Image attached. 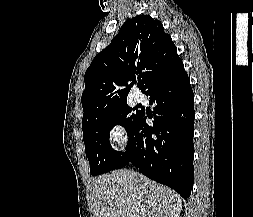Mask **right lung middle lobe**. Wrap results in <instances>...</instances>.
<instances>
[{"label": "right lung middle lobe", "instance_id": "right-lung-middle-lobe-1", "mask_svg": "<svg viewBox=\"0 0 253 217\" xmlns=\"http://www.w3.org/2000/svg\"><path fill=\"white\" fill-rule=\"evenodd\" d=\"M129 107L127 102L109 108L82 124L86 156L92 176L113 169L120 152L115 151L109 142L110 130L117 124L125 127L129 134L132 125L141 111Z\"/></svg>", "mask_w": 253, "mask_h": 217}]
</instances>
